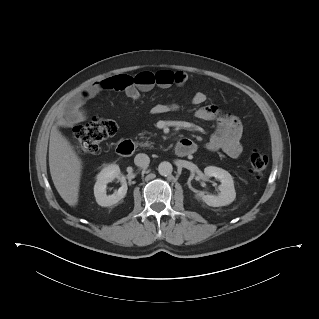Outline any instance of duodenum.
I'll list each match as a JSON object with an SVG mask.
<instances>
[{"mask_svg": "<svg viewBox=\"0 0 319 319\" xmlns=\"http://www.w3.org/2000/svg\"><path fill=\"white\" fill-rule=\"evenodd\" d=\"M134 147V143L131 140H124L118 144L117 153L121 156L130 155L133 152ZM195 150V143L188 138L181 139L175 147V153L180 157L191 155Z\"/></svg>", "mask_w": 319, "mask_h": 319, "instance_id": "obj_1", "label": "duodenum"}]
</instances>
